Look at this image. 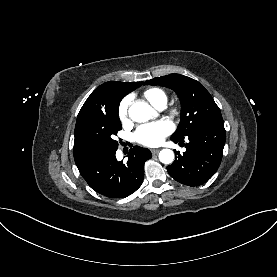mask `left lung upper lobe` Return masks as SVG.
<instances>
[{
  "instance_id": "obj_1",
  "label": "left lung upper lobe",
  "mask_w": 277,
  "mask_h": 277,
  "mask_svg": "<svg viewBox=\"0 0 277 277\" xmlns=\"http://www.w3.org/2000/svg\"><path fill=\"white\" fill-rule=\"evenodd\" d=\"M145 84L168 87L179 96L182 105L181 121L171 136L173 140H182L199 126L222 119L220 109L210 93L192 78L181 74H169L148 80Z\"/></svg>"
}]
</instances>
